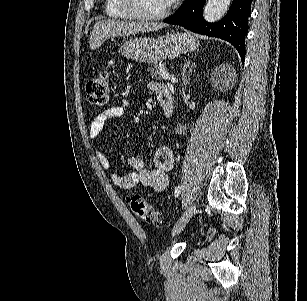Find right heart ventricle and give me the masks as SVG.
Returning <instances> with one entry per match:
<instances>
[{
    "instance_id": "obj_1",
    "label": "right heart ventricle",
    "mask_w": 307,
    "mask_h": 301,
    "mask_svg": "<svg viewBox=\"0 0 307 301\" xmlns=\"http://www.w3.org/2000/svg\"><path fill=\"white\" fill-rule=\"evenodd\" d=\"M107 10H104V17H128L127 9H119L122 5V0H107Z\"/></svg>"
}]
</instances>
